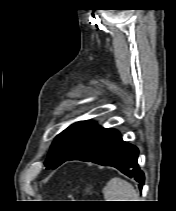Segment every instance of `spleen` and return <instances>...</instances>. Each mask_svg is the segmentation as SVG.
Returning a JSON list of instances; mask_svg holds the SVG:
<instances>
[{
  "mask_svg": "<svg viewBox=\"0 0 176 211\" xmlns=\"http://www.w3.org/2000/svg\"><path fill=\"white\" fill-rule=\"evenodd\" d=\"M105 201H140L134 186L126 180L115 177L103 188Z\"/></svg>",
  "mask_w": 176,
  "mask_h": 211,
  "instance_id": "obj_1",
  "label": "spleen"
}]
</instances>
